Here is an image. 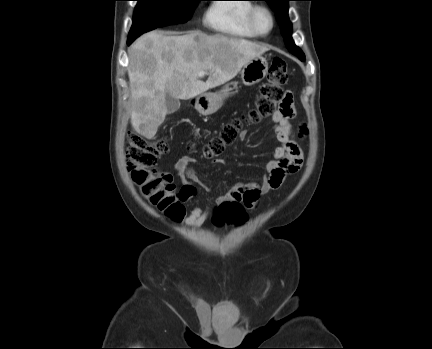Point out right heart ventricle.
Segmentation results:
<instances>
[{"label": "right heart ventricle", "instance_id": "e07e8e85", "mask_svg": "<svg viewBox=\"0 0 432 349\" xmlns=\"http://www.w3.org/2000/svg\"><path fill=\"white\" fill-rule=\"evenodd\" d=\"M253 6L250 0H216L206 11L205 23L213 31L228 37L253 39L256 35L247 21Z\"/></svg>", "mask_w": 432, "mask_h": 349}]
</instances>
